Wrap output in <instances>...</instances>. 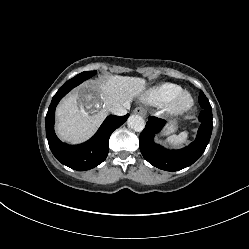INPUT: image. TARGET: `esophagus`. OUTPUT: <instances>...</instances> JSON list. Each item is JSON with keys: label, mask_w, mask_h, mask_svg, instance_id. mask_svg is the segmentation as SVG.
Listing matches in <instances>:
<instances>
[{"label": "esophagus", "mask_w": 249, "mask_h": 249, "mask_svg": "<svg viewBox=\"0 0 249 249\" xmlns=\"http://www.w3.org/2000/svg\"><path fill=\"white\" fill-rule=\"evenodd\" d=\"M133 112L135 114L141 115L142 117H145V115H146V111L141 107L135 108Z\"/></svg>", "instance_id": "1"}]
</instances>
